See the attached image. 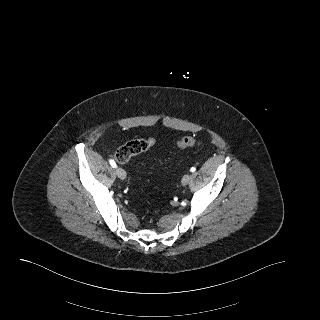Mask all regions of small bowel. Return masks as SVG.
Returning a JSON list of instances; mask_svg holds the SVG:
<instances>
[{"label": "small bowel", "instance_id": "1", "mask_svg": "<svg viewBox=\"0 0 320 320\" xmlns=\"http://www.w3.org/2000/svg\"><path fill=\"white\" fill-rule=\"evenodd\" d=\"M151 146L155 143V139L154 138H149L146 140Z\"/></svg>", "mask_w": 320, "mask_h": 320}]
</instances>
